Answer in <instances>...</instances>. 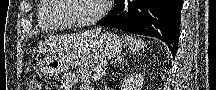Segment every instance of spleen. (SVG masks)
I'll return each instance as SVG.
<instances>
[{
	"instance_id": "spleen-1",
	"label": "spleen",
	"mask_w": 216,
	"mask_h": 90,
	"mask_svg": "<svg viewBox=\"0 0 216 90\" xmlns=\"http://www.w3.org/2000/svg\"><path fill=\"white\" fill-rule=\"evenodd\" d=\"M122 40L126 42L127 46H129L130 50H133V52H138L141 48H146L145 42L137 40V38H132V36H122Z\"/></svg>"
}]
</instances>
